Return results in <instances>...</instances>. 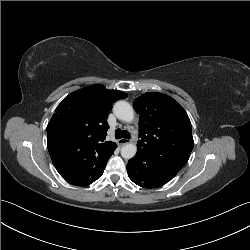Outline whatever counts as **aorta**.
Instances as JSON below:
<instances>
[{
    "label": "aorta",
    "mask_w": 250,
    "mask_h": 250,
    "mask_svg": "<svg viewBox=\"0 0 250 250\" xmlns=\"http://www.w3.org/2000/svg\"><path fill=\"white\" fill-rule=\"evenodd\" d=\"M113 111L118 119L124 122H132L134 119V111L132 106L123 100L114 104ZM137 152V146L134 143H126L121 148V156L125 159H131Z\"/></svg>",
    "instance_id": "762f6f07"
}]
</instances>
